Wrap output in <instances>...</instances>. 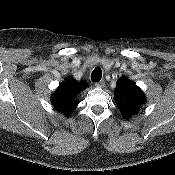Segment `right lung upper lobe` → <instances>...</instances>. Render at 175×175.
I'll return each mask as SVG.
<instances>
[{
	"instance_id": "cb5924a9",
	"label": "right lung upper lobe",
	"mask_w": 175,
	"mask_h": 175,
	"mask_svg": "<svg viewBox=\"0 0 175 175\" xmlns=\"http://www.w3.org/2000/svg\"><path fill=\"white\" fill-rule=\"evenodd\" d=\"M87 87L84 81L78 82L73 78H67L62 82L51 96L54 108L69 116L77 107V95Z\"/></svg>"
}]
</instances>
